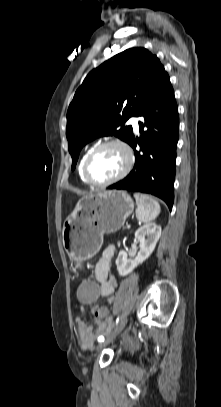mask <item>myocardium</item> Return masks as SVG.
I'll return each instance as SVG.
<instances>
[{
    "instance_id": "myocardium-1",
    "label": "myocardium",
    "mask_w": 221,
    "mask_h": 407,
    "mask_svg": "<svg viewBox=\"0 0 221 407\" xmlns=\"http://www.w3.org/2000/svg\"><path fill=\"white\" fill-rule=\"evenodd\" d=\"M109 146H118L119 148H121L125 155H126V165L123 168V170L114 178L106 180V181H96L94 180L90 173H89V165L90 162L92 160V158L98 153L100 152L102 149L109 147ZM135 163V157H134V153L132 151V149L130 148V146L120 140V139H110L107 141H104L100 144H98L97 146H95L86 156L84 162H83V166H82V172H83V176L85 178V180L93 186H97V187H104V186H109L112 185L120 180H122L123 178H125L133 169Z\"/></svg>"
}]
</instances>
